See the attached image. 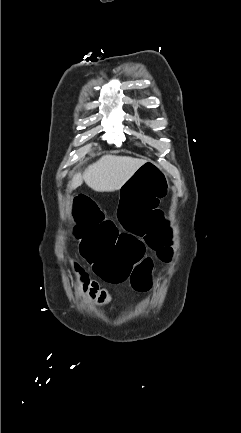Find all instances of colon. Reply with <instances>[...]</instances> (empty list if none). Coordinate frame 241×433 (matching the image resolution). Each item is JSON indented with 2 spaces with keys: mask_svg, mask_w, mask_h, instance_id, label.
<instances>
[{
  "mask_svg": "<svg viewBox=\"0 0 241 433\" xmlns=\"http://www.w3.org/2000/svg\"><path fill=\"white\" fill-rule=\"evenodd\" d=\"M156 162L152 157L137 165L136 172H132L121 187L117 208L124 230H119L113 220H106V213L100 212V205L86 192H74L72 196L75 206L71 217L73 221H80L73 228L80 257L105 281L122 283L131 278L139 291L148 287L140 277H148L153 269L146 246L154 250L162 262H170L173 256L170 248L173 237L163 227L171 225V216L159 207L158 201H164L165 195L171 194L174 184L166 178L165 167ZM66 264L78 274L76 288L87 289L88 275L81 269L79 259L68 258Z\"/></svg>",
  "mask_w": 241,
  "mask_h": 433,
  "instance_id": "1",
  "label": "colon"
}]
</instances>
